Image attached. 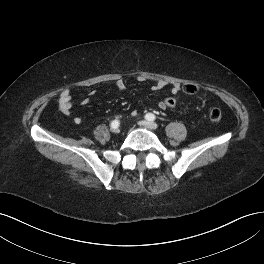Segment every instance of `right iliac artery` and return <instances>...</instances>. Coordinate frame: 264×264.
Segmentation results:
<instances>
[{"label":"right iliac artery","instance_id":"right-iliac-artery-1","mask_svg":"<svg viewBox=\"0 0 264 264\" xmlns=\"http://www.w3.org/2000/svg\"><path fill=\"white\" fill-rule=\"evenodd\" d=\"M119 121L118 120H113L112 122H111V127L112 128H117L118 126H119Z\"/></svg>","mask_w":264,"mask_h":264}]
</instances>
